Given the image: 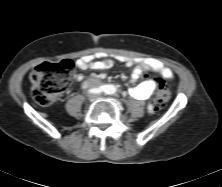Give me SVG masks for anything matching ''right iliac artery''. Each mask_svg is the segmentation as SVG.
<instances>
[{
	"label": "right iliac artery",
	"instance_id": "1",
	"mask_svg": "<svg viewBox=\"0 0 222 187\" xmlns=\"http://www.w3.org/2000/svg\"><path fill=\"white\" fill-rule=\"evenodd\" d=\"M108 89V87L106 86H101L99 88H93V89H90L89 92L90 93H100V92H106V90Z\"/></svg>",
	"mask_w": 222,
	"mask_h": 187
}]
</instances>
